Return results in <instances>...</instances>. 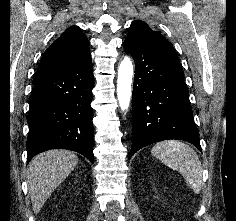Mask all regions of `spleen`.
I'll return each mask as SVG.
<instances>
[{
	"label": "spleen",
	"instance_id": "spleen-1",
	"mask_svg": "<svg viewBox=\"0 0 236 221\" xmlns=\"http://www.w3.org/2000/svg\"><path fill=\"white\" fill-rule=\"evenodd\" d=\"M151 154L180 172L195 192L200 191L203 170L197 153L190 146L177 140L161 141L153 146Z\"/></svg>",
	"mask_w": 236,
	"mask_h": 221
}]
</instances>
